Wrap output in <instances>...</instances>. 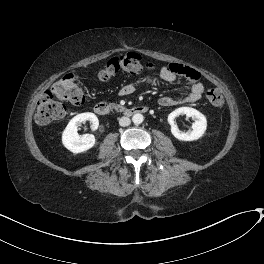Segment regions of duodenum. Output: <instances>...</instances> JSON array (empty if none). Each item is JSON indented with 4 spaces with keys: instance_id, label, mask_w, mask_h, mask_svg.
<instances>
[{
    "instance_id": "410a0bca",
    "label": "duodenum",
    "mask_w": 264,
    "mask_h": 264,
    "mask_svg": "<svg viewBox=\"0 0 264 264\" xmlns=\"http://www.w3.org/2000/svg\"><path fill=\"white\" fill-rule=\"evenodd\" d=\"M95 112L100 116H106L110 112V107L107 102H98L95 107ZM148 107L142 105L127 106L122 108L121 113L124 116H133L136 114H145L148 112Z\"/></svg>"
}]
</instances>
